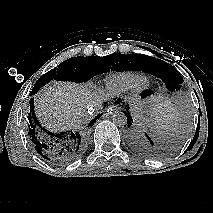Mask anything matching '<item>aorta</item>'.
<instances>
[{"mask_svg": "<svg viewBox=\"0 0 213 213\" xmlns=\"http://www.w3.org/2000/svg\"><path fill=\"white\" fill-rule=\"evenodd\" d=\"M112 121L117 126L123 127L127 124V116L123 112H116L112 115Z\"/></svg>", "mask_w": 213, "mask_h": 213, "instance_id": "aorta-1", "label": "aorta"}]
</instances>
